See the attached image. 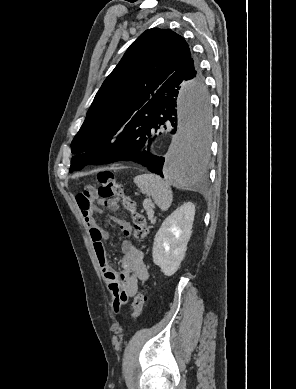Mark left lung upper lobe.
<instances>
[{"mask_svg": "<svg viewBox=\"0 0 296 389\" xmlns=\"http://www.w3.org/2000/svg\"><path fill=\"white\" fill-rule=\"evenodd\" d=\"M180 75L202 79L184 38L169 29L142 33L97 92L71 143L73 154H85L72 158L69 171L98 165L101 150L136 113L152 105L153 96L169 77Z\"/></svg>", "mask_w": 296, "mask_h": 389, "instance_id": "obj_1", "label": "left lung upper lobe"}]
</instances>
